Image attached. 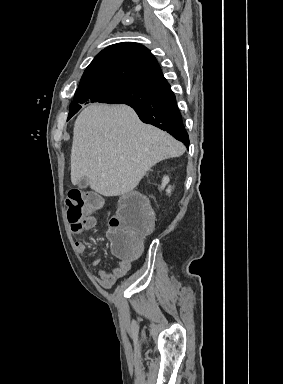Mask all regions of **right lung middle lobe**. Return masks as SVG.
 <instances>
[{
	"label": "right lung middle lobe",
	"instance_id": "right-lung-middle-lobe-1",
	"mask_svg": "<svg viewBox=\"0 0 283 384\" xmlns=\"http://www.w3.org/2000/svg\"><path fill=\"white\" fill-rule=\"evenodd\" d=\"M155 92L141 88L116 83L99 84L90 87L77 89L74 101L71 102L69 120L81 109V104L89 102L121 103L126 105H139L149 102Z\"/></svg>",
	"mask_w": 283,
	"mask_h": 384
}]
</instances>
